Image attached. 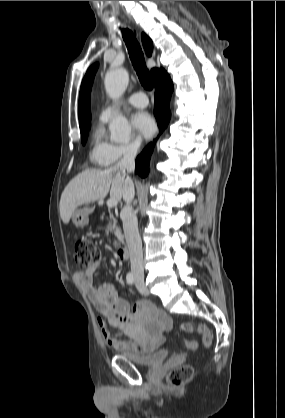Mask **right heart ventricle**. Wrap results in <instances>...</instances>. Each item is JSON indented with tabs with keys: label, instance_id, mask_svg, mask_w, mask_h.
Here are the masks:
<instances>
[{
	"label": "right heart ventricle",
	"instance_id": "1",
	"mask_svg": "<svg viewBox=\"0 0 285 418\" xmlns=\"http://www.w3.org/2000/svg\"><path fill=\"white\" fill-rule=\"evenodd\" d=\"M101 122L94 128L91 134L89 159L92 164L96 166H107L109 164L110 151L115 145L111 142L104 131L103 123Z\"/></svg>",
	"mask_w": 285,
	"mask_h": 418
}]
</instances>
